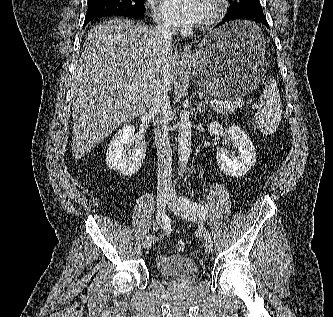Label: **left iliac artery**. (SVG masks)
I'll list each match as a JSON object with an SVG mask.
<instances>
[{
	"label": "left iliac artery",
	"mask_w": 333,
	"mask_h": 317,
	"mask_svg": "<svg viewBox=\"0 0 333 317\" xmlns=\"http://www.w3.org/2000/svg\"><path fill=\"white\" fill-rule=\"evenodd\" d=\"M180 200L193 214H196L197 216H199V218H207L208 211L206 207L197 202L190 201L186 197H180Z\"/></svg>",
	"instance_id": "left-iliac-artery-1"
}]
</instances>
